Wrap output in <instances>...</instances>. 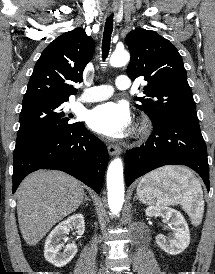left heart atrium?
I'll return each mask as SVG.
<instances>
[{
    "label": "left heart atrium",
    "mask_w": 215,
    "mask_h": 274,
    "mask_svg": "<svg viewBox=\"0 0 215 274\" xmlns=\"http://www.w3.org/2000/svg\"><path fill=\"white\" fill-rule=\"evenodd\" d=\"M89 127L109 138H122L128 135L132 119L127 106L107 102L93 108L87 118Z\"/></svg>",
    "instance_id": "39dd6f15"
}]
</instances>
